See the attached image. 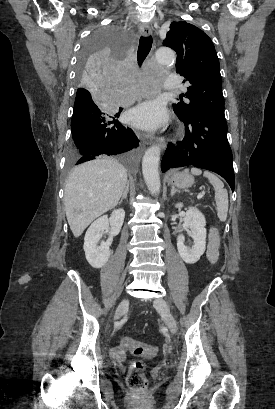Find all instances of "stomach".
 I'll list each match as a JSON object with an SVG mask.
<instances>
[{
    "mask_svg": "<svg viewBox=\"0 0 275 409\" xmlns=\"http://www.w3.org/2000/svg\"><path fill=\"white\" fill-rule=\"evenodd\" d=\"M169 182L172 186H177V188H188V186H192L194 176L188 174V172H173L169 178Z\"/></svg>",
    "mask_w": 275,
    "mask_h": 409,
    "instance_id": "0dacf381",
    "label": "stomach"
}]
</instances>
